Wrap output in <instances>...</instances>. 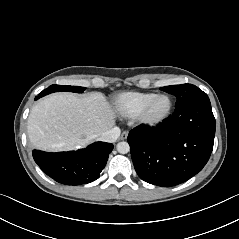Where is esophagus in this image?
<instances>
[{
	"instance_id": "1",
	"label": "esophagus",
	"mask_w": 239,
	"mask_h": 239,
	"mask_svg": "<svg viewBox=\"0 0 239 239\" xmlns=\"http://www.w3.org/2000/svg\"><path fill=\"white\" fill-rule=\"evenodd\" d=\"M127 136H128V131H123L122 134H121L120 139H121V140H124V139L127 138Z\"/></svg>"
}]
</instances>
